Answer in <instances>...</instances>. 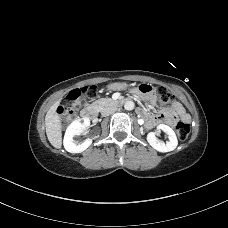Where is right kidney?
Masks as SVG:
<instances>
[{"instance_id": "ca27d5eb", "label": "right kidney", "mask_w": 228, "mask_h": 228, "mask_svg": "<svg viewBox=\"0 0 228 228\" xmlns=\"http://www.w3.org/2000/svg\"><path fill=\"white\" fill-rule=\"evenodd\" d=\"M89 125V118H82L73 121L68 126L63 140L64 148L66 149V151L70 153H81L92 144V139L90 138L86 139L82 143H78L73 139L74 136L80 135Z\"/></svg>"}]
</instances>
